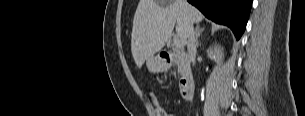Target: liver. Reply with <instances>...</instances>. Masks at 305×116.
Returning <instances> with one entry per match:
<instances>
[{"mask_svg": "<svg viewBox=\"0 0 305 116\" xmlns=\"http://www.w3.org/2000/svg\"><path fill=\"white\" fill-rule=\"evenodd\" d=\"M204 16L186 0H140L131 34V52L138 68L159 52L169 40L174 26L181 45L188 41V29Z\"/></svg>", "mask_w": 305, "mask_h": 116, "instance_id": "liver-1", "label": "liver"}]
</instances>
